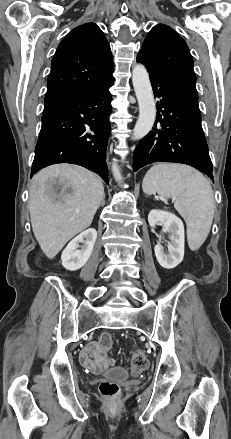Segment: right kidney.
Wrapping results in <instances>:
<instances>
[{
  "label": "right kidney",
  "mask_w": 231,
  "mask_h": 439,
  "mask_svg": "<svg viewBox=\"0 0 231 439\" xmlns=\"http://www.w3.org/2000/svg\"><path fill=\"white\" fill-rule=\"evenodd\" d=\"M97 238V231L89 228L69 242L61 255L65 269L75 271L82 268L90 258ZM79 243L83 245L79 249Z\"/></svg>",
  "instance_id": "1"
}]
</instances>
